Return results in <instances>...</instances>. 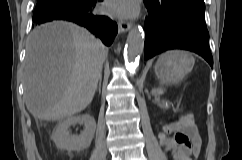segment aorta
<instances>
[{"label": "aorta", "mask_w": 242, "mask_h": 160, "mask_svg": "<svg viewBox=\"0 0 242 160\" xmlns=\"http://www.w3.org/2000/svg\"><path fill=\"white\" fill-rule=\"evenodd\" d=\"M144 48V32L141 27L133 28L128 34L125 49V61L135 65L139 62L140 55Z\"/></svg>", "instance_id": "762f6f07"}]
</instances>
